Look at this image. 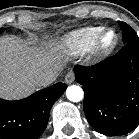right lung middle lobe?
Returning <instances> with one entry per match:
<instances>
[{
    "mask_svg": "<svg viewBox=\"0 0 139 139\" xmlns=\"http://www.w3.org/2000/svg\"><path fill=\"white\" fill-rule=\"evenodd\" d=\"M4 31V28H0V33H2Z\"/></svg>",
    "mask_w": 139,
    "mask_h": 139,
    "instance_id": "dd1d6c3e",
    "label": "right lung middle lobe"
}]
</instances>
